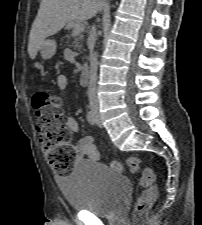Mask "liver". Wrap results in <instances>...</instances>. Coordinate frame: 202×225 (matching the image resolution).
Instances as JSON below:
<instances>
[{"label": "liver", "mask_w": 202, "mask_h": 225, "mask_svg": "<svg viewBox=\"0 0 202 225\" xmlns=\"http://www.w3.org/2000/svg\"><path fill=\"white\" fill-rule=\"evenodd\" d=\"M102 7V0H42L30 31V58L35 59L43 41L58 33L68 22L86 21Z\"/></svg>", "instance_id": "6515ba94"}]
</instances>
